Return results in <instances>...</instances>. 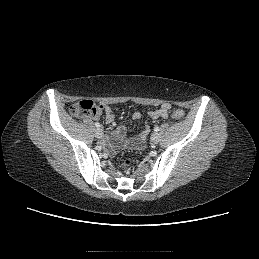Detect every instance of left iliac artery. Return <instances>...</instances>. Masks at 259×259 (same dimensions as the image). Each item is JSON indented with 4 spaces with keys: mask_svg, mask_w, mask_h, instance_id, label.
Returning a JSON list of instances; mask_svg holds the SVG:
<instances>
[{
    "mask_svg": "<svg viewBox=\"0 0 259 259\" xmlns=\"http://www.w3.org/2000/svg\"><path fill=\"white\" fill-rule=\"evenodd\" d=\"M154 131H155V132H158V131H159V127H158V126H155V127H154Z\"/></svg>",
    "mask_w": 259,
    "mask_h": 259,
    "instance_id": "1",
    "label": "left iliac artery"
}]
</instances>
